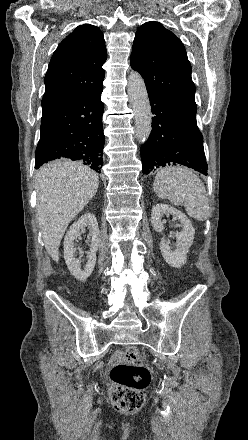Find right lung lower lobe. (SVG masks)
<instances>
[{
    "mask_svg": "<svg viewBox=\"0 0 248 440\" xmlns=\"http://www.w3.org/2000/svg\"><path fill=\"white\" fill-rule=\"evenodd\" d=\"M103 88L42 109L35 169L56 158L81 160L100 173L105 137Z\"/></svg>",
    "mask_w": 248,
    "mask_h": 440,
    "instance_id": "1",
    "label": "right lung lower lobe"
}]
</instances>
